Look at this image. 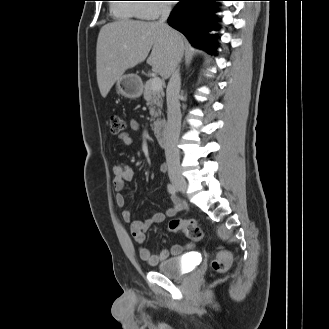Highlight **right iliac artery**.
Segmentation results:
<instances>
[{
	"instance_id": "1",
	"label": "right iliac artery",
	"mask_w": 329,
	"mask_h": 329,
	"mask_svg": "<svg viewBox=\"0 0 329 329\" xmlns=\"http://www.w3.org/2000/svg\"><path fill=\"white\" fill-rule=\"evenodd\" d=\"M167 190L170 194L175 195L177 193L176 188L172 184L167 185Z\"/></svg>"
}]
</instances>
